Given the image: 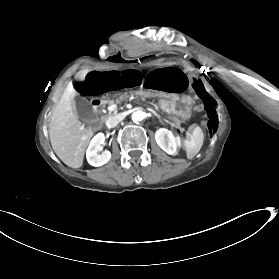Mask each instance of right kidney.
I'll use <instances>...</instances> for the list:
<instances>
[{
    "label": "right kidney",
    "instance_id": "1",
    "mask_svg": "<svg viewBox=\"0 0 279 279\" xmlns=\"http://www.w3.org/2000/svg\"><path fill=\"white\" fill-rule=\"evenodd\" d=\"M105 141V136L103 133L96 134L91 140L89 147L86 151V158L90 165L98 167L106 164L110 158L111 153L109 151H104L98 154L102 150L101 145Z\"/></svg>",
    "mask_w": 279,
    "mask_h": 279
}]
</instances>
